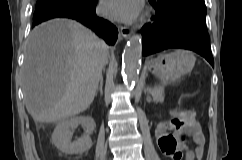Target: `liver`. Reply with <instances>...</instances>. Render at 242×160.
Here are the masks:
<instances>
[{
    "instance_id": "obj_1",
    "label": "liver",
    "mask_w": 242,
    "mask_h": 160,
    "mask_svg": "<svg viewBox=\"0 0 242 160\" xmlns=\"http://www.w3.org/2000/svg\"><path fill=\"white\" fill-rule=\"evenodd\" d=\"M109 55L106 43L76 21L36 27L23 65L24 100L34 121L57 123L89 108Z\"/></svg>"
}]
</instances>
